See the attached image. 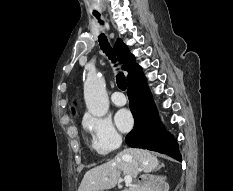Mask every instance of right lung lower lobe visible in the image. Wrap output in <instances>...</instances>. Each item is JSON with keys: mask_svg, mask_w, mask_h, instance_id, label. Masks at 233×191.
I'll return each instance as SVG.
<instances>
[{"mask_svg": "<svg viewBox=\"0 0 233 191\" xmlns=\"http://www.w3.org/2000/svg\"><path fill=\"white\" fill-rule=\"evenodd\" d=\"M127 83L129 105L135 125L126 136V143L131 147L165 153L181 161L178 144L159 120L146 78L139 65L127 78Z\"/></svg>", "mask_w": 233, "mask_h": 191, "instance_id": "98d812e1", "label": "right lung lower lobe"}]
</instances>
